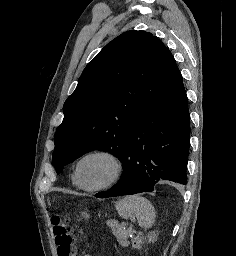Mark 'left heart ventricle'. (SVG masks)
<instances>
[{
    "label": "left heart ventricle",
    "instance_id": "1",
    "mask_svg": "<svg viewBox=\"0 0 236 256\" xmlns=\"http://www.w3.org/2000/svg\"><path fill=\"white\" fill-rule=\"evenodd\" d=\"M114 172V163L103 155L90 156L81 165V179L88 187H95L107 182Z\"/></svg>",
    "mask_w": 236,
    "mask_h": 256
}]
</instances>
